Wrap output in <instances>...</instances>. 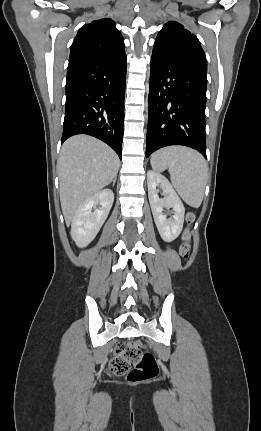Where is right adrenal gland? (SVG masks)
<instances>
[{
	"instance_id": "obj_1",
	"label": "right adrenal gland",
	"mask_w": 261,
	"mask_h": 431,
	"mask_svg": "<svg viewBox=\"0 0 261 431\" xmlns=\"http://www.w3.org/2000/svg\"><path fill=\"white\" fill-rule=\"evenodd\" d=\"M116 179H117V177L115 176L113 179V186H115V184H116Z\"/></svg>"
}]
</instances>
